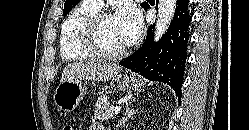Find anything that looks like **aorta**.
Instances as JSON below:
<instances>
[{
  "mask_svg": "<svg viewBox=\"0 0 249 130\" xmlns=\"http://www.w3.org/2000/svg\"><path fill=\"white\" fill-rule=\"evenodd\" d=\"M176 9V0H159L158 16L155 26L154 40L159 41L167 31Z\"/></svg>",
  "mask_w": 249,
  "mask_h": 130,
  "instance_id": "obj_1",
  "label": "aorta"
}]
</instances>
